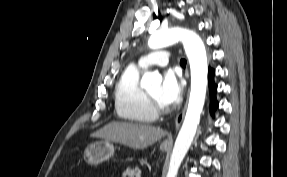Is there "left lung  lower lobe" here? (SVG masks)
<instances>
[{
	"label": "left lung lower lobe",
	"instance_id": "left-lung-lower-lobe-1",
	"mask_svg": "<svg viewBox=\"0 0 287 177\" xmlns=\"http://www.w3.org/2000/svg\"><path fill=\"white\" fill-rule=\"evenodd\" d=\"M214 69L209 67L208 70V84L210 90V112L211 114L218 108V102L216 100L217 85L214 83Z\"/></svg>",
	"mask_w": 287,
	"mask_h": 177
}]
</instances>
